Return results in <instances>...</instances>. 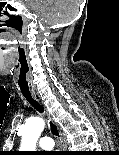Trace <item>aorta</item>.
Wrapping results in <instances>:
<instances>
[{"instance_id": "aorta-1", "label": "aorta", "mask_w": 119, "mask_h": 155, "mask_svg": "<svg viewBox=\"0 0 119 155\" xmlns=\"http://www.w3.org/2000/svg\"><path fill=\"white\" fill-rule=\"evenodd\" d=\"M45 126L42 118L35 117L26 121L22 127V143L20 149L22 151H35L36 143Z\"/></svg>"}]
</instances>
